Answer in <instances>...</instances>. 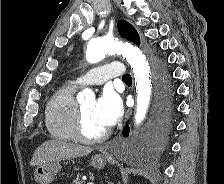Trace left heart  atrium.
Segmentation results:
<instances>
[{
  "label": "left heart atrium",
  "instance_id": "left-heart-atrium-1",
  "mask_svg": "<svg viewBox=\"0 0 224 184\" xmlns=\"http://www.w3.org/2000/svg\"><path fill=\"white\" fill-rule=\"evenodd\" d=\"M93 113L103 127L110 128L116 124L121 116V103L113 93L104 92L95 102Z\"/></svg>",
  "mask_w": 224,
  "mask_h": 184
}]
</instances>
